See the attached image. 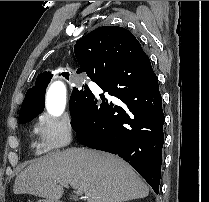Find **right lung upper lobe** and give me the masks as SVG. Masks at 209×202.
<instances>
[{
	"label": "right lung upper lobe",
	"mask_w": 209,
	"mask_h": 202,
	"mask_svg": "<svg viewBox=\"0 0 209 202\" xmlns=\"http://www.w3.org/2000/svg\"><path fill=\"white\" fill-rule=\"evenodd\" d=\"M74 53L80 65L77 73L85 72L94 82L115 77L123 83L130 73L142 70L138 61L147 56L130 31L116 26H102L88 33L76 42ZM62 75L69 76L68 73ZM51 77L52 74L46 72L38 75L36 86L27 91L21 110L44 106Z\"/></svg>",
	"instance_id": "1"
}]
</instances>
